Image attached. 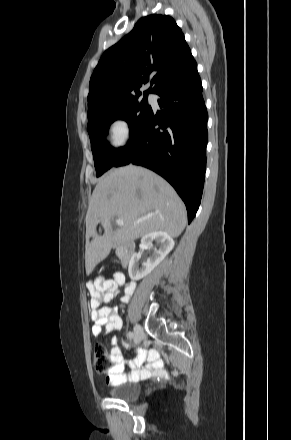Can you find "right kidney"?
I'll use <instances>...</instances> for the list:
<instances>
[{"label": "right kidney", "instance_id": "right-kidney-1", "mask_svg": "<svg viewBox=\"0 0 291 440\" xmlns=\"http://www.w3.org/2000/svg\"><path fill=\"white\" fill-rule=\"evenodd\" d=\"M153 241H155L159 248H153ZM141 244L146 248H153L152 254L147 258L146 261L139 263L141 258V253H135L129 262L128 273L132 280H140L147 276L173 249L174 240L163 231H155L146 234L141 239Z\"/></svg>", "mask_w": 291, "mask_h": 440}]
</instances>
